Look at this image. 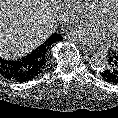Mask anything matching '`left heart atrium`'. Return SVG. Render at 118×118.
Wrapping results in <instances>:
<instances>
[{
  "mask_svg": "<svg viewBox=\"0 0 118 118\" xmlns=\"http://www.w3.org/2000/svg\"><path fill=\"white\" fill-rule=\"evenodd\" d=\"M70 36L88 47L102 49L111 44L107 33L98 25H81L73 29Z\"/></svg>",
  "mask_w": 118,
  "mask_h": 118,
  "instance_id": "39dd6f15",
  "label": "left heart atrium"
}]
</instances>
